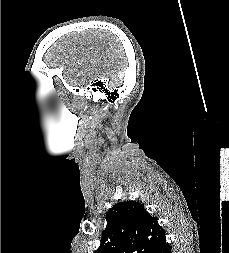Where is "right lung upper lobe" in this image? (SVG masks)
I'll list each match as a JSON object with an SVG mask.
<instances>
[{"label":"right lung upper lobe","mask_w":229,"mask_h":253,"mask_svg":"<svg viewBox=\"0 0 229 253\" xmlns=\"http://www.w3.org/2000/svg\"><path fill=\"white\" fill-rule=\"evenodd\" d=\"M106 229L95 253H153L165 231L136 201L115 204L106 215Z\"/></svg>","instance_id":"right-lung-upper-lobe-1"}]
</instances>
